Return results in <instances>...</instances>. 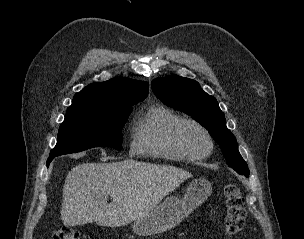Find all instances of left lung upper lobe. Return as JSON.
<instances>
[{"label": "left lung upper lobe", "instance_id": "1", "mask_svg": "<svg viewBox=\"0 0 304 239\" xmlns=\"http://www.w3.org/2000/svg\"><path fill=\"white\" fill-rule=\"evenodd\" d=\"M151 87L163 103L192 116L210 132L220 145L229 167L245 177L249 176L248 166L238 151L237 141L226 127L224 113L216 99L204 92L198 82L174 75L154 79Z\"/></svg>", "mask_w": 304, "mask_h": 239}]
</instances>
